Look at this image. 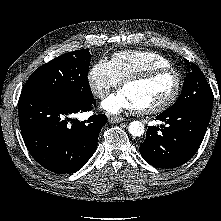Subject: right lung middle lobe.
<instances>
[{
  "label": "right lung middle lobe",
  "instance_id": "dd1d6c3e",
  "mask_svg": "<svg viewBox=\"0 0 221 221\" xmlns=\"http://www.w3.org/2000/svg\"><path fill=\"white\" fill-rule=\"evenodd\" d=\"M90 56L89 50L83 49L66 53L40 66L31 74L21 94L50 92L79 101L92 100L87 79Z\"/></svg>",
  "mask_w": 221,
  "mask_h": 221
}]
</instances>
